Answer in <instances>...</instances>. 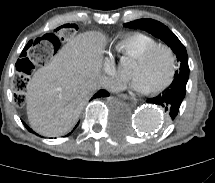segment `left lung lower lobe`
Segmentation results:
<instances>
[{
    "instance_id": "0a47b994",
    "label": "left lung lower lobe",
    "mask_w": 215,
    "mask_h": 183,
    "mask_svg": "<svg viewBox=\"0 0 215 183\" xmlns=\"http://www.w3.org/2000/svg\"><path fill=\"white\" fill-rule=\"evenodd\" d=\"M188 77H175L171 85L156 97L147 100L164 108L168 121L174 120L186 94Z\"/></svg>"
}]
</instances>
